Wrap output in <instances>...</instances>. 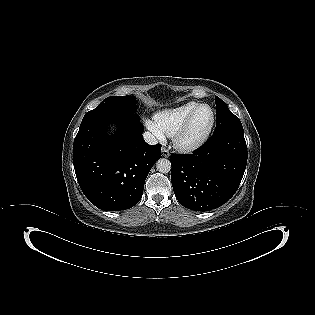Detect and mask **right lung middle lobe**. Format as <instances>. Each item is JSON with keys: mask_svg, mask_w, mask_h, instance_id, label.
Returning a JSON list of instances; mask_svg holds the SVG:
<instances>
[{"mask_svg": "<svg viewBox=\"0 0 315 315\" xmlns=\"http://www.w3.org/2000/svg\"><path fill=\"white\" fill-rule=\"evenodd\" d=\"M97 107H115L126 112L135 113L137 109L134 96H111L107 97Z\"/></svg>", "mask_w": 315, "mask_h": 315, "instance_id": "right-lung-middle-lobe-1", "label": "right lung middle lobe"}]
</instances>
